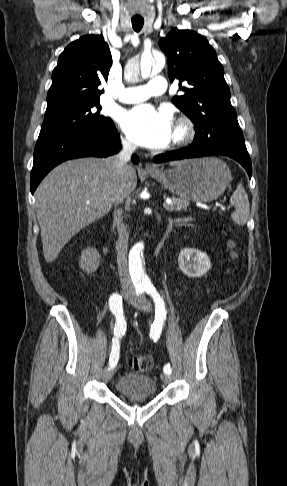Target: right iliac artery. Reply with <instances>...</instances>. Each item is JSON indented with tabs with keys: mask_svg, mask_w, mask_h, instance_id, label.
<instances>
[{
	"mask_svg": "<svg viewBox=\"0 0 287 486\" xmlns=\"http://www.w3.org/2000/svg\"><path fill=\"white\" fill-rule=\"evenodd\" d=\"M144 288L138 287L136 293L142 294ZM109 308L116 317V324L114 328V338L109 359V369H113L119 360L120 343L119 339L126 331V322L123 315L122 297L118 293H114L109 298Z\"/></svg>",
	"mask_w": 287,
	"mask_h": 486,
	"instance_id": "1",
	"label": "right iliac artery"
}]
</instances>
